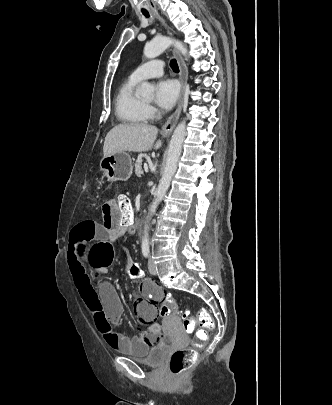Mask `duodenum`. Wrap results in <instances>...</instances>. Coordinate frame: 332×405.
<instances>
[{
  "label": "duodenum",
  "mask_w": 332,
  "mask_h": 405,
  "mask_svg": "<svg viewBox=\"0 0 332 405\" xmlns=\"http://www.w3.org/2000/svg\"><path fill=\"white\" fill-rule=\"evenodd\" d=\"M126 226L129 233H135L138 229L139 223L136 219H131L126 223Z\"/></svg>",
  "instance_id": "duodenum-1"
}]
</instances>
